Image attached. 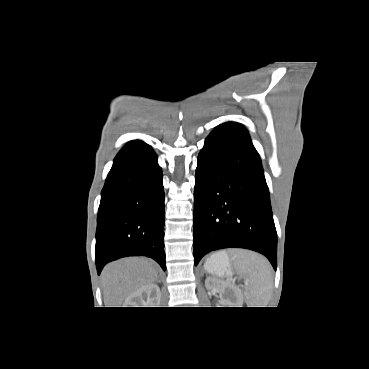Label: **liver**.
I'll use <instances>...</instances> for the list:
<instances>
[{"instance_id": "6515ba94", "label": "liver", "mask_w": 369, "mask_h": 369, "mask_svg": "<svg viewBox=\"0 0 369 369\" xmlns=\"http://www.w3.org/2000/svg\"><path fill=\"white\" fill-rule=\"evenodd\" d=\"M157 279L158 268L147 258H124L107 264L101 275L105 307H119L134 291Z\"/></svg>"}]
</instances>
